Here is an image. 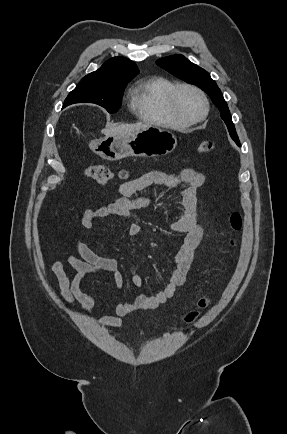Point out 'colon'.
<instances>
[{
	"label": "colon",
	"instance_id": "obj_1",
	"mask_svg": "<svg viewBox=\"0 0 287 434\" xmlns=\"http://www.w3.org/2000/svg\"><path fill=\"white\" fill-rule=\"evenodd\" d=\"M214 144L211 141H203L198 146V152L200 154H209L213 151ZM84 174L86 177L93 179L97 183L104 185L108 182L119 179L124 180L128 176V172L125 169L115 170L107 165L97 164L90 165L84 169ZM230 226L233 231L238 232L242 228V216L239 212H233L229 218ZM231 245H235L236 241L232 239L230 241ZM210 304L208 298H203L198 304V309L191 311L185 317L186 323H193L199 316L202 310L206 309Z\"/></svg>",
	"mask_w": 287,
	"mask_h": 434
}]
</instances>
